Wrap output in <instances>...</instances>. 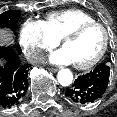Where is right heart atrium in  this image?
Returning <instances> with one entry per match:
<instances>
[{"instance_id":"obj_1","label":"right heart atrium","mask_w":117,"mask_h":117,"mask_svg":"<svg viewBox=\"0 0 117 117\" xmlns=\"http://www.w3.org/2000/svg\"><path fill=\"white\" fill-rule=\"evenodd\" d=\"M20 44L26 57L33 63L40 62L43 53L54 48L55 38L43 21L26 20L20 30Z\"/></svg>"}]
</instances>
